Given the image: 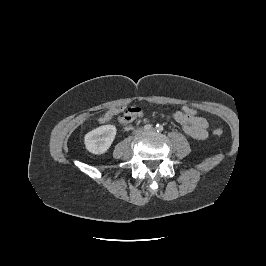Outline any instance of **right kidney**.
Listing matches in <instances>:
<instances>
[{"label":"right kidney","instance_id":"1","mask_svg":"<svg viewBox=\"0 0 266 266\" xmlns=\"http://www.w3.org/2000/svg\"><path fill=\"white\" fill-rule=\"evenodd\" d=\"M116 136L114 125H103L90 132L84 137L86 149L93 154H103L111 146Z\"/></svg>","mask_w":266,"mask_h":266}]
</instances>
